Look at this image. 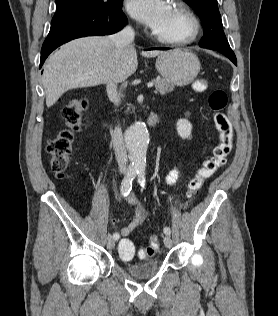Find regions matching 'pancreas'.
I'll return each mask as SVG.
<instances>
[{"instance_id":"1","label":"pancreas","mask_w":278,"mask_h":316,"mask_svg":"<svg viewBox=\"0 0 278 316\" xmlns=\"http://www.w3.org/2000/svg\"><path fill=\"white\" fill-rule=\"evenodd\" d=\"M153 82L155 83L156 94L159 93L160 95H165L166 93H169L174 89L173 85L166 82L165 79H161L160 77L154 79ZM128 106H131V104H129Z\"/></svg>"}]
</instances>
